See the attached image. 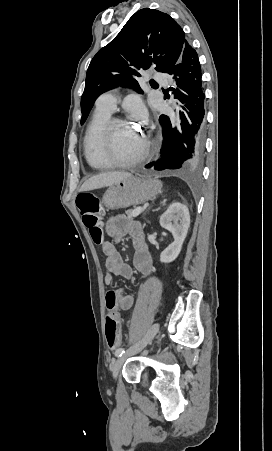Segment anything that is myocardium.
<instances>
[{
    "mask_svg": "<svg viewBox=\"0 0 272 451\" xmlns=\"http://www.w3.org/2000/svg\"><path fill=\"white\" fill-rule=\"evenodd\" d=\"M120 122H127L125 118L121 117H110L108 120L104 123L99 135H98V141L102 145L103 155L105 158V161L107 164L110 163V161L113 159V156L116 154L114 143H113V127L115 124ZM145 149L144 144L136 145L134 146L129 155L124 158H118V162H120L119 165H123V163H129L135 161L137 158L140 157L142 152Z\"/></svg>",
    "mask_w": 272,
    "mask_h": 451,
    "instance_id": "obj_1",
    "label": "myocardium"
}]
</instances>
